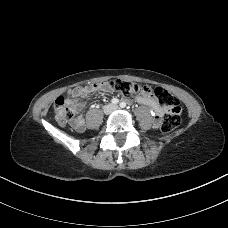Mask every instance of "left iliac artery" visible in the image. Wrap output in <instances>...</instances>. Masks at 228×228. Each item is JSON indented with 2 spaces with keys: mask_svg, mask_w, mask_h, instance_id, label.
<instances>
[{
  "mask_svg": "<svg viewBox=\"0 0 228 228\" xmlns=\"http://www.w3.org/2000/svg\"><path fill=\"white\" fill-rule=\"evenodd\" d=\"M120 107H121V108H125V107H126V103H125V102H121V103H120Z\"/></svg>",
  "mask_w": 228,
  "mask_h": 228,
  "instance_id": "44dca946",
  "label": "left iliac artery"
}]
</instances>
